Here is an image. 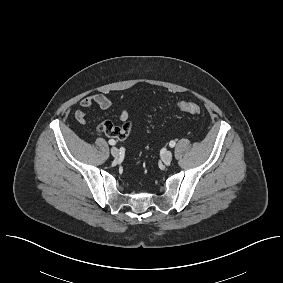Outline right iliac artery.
<instances>
[{
  "label": "right iliac artery",
  "instance_id": "1",
  "mask_svg": "<svg viewBox=\"0 0 283 283\" xmlns=\"http://www.w3.org/2000/svg\"><path fill=\"white\" fill-rule=\"evenodd\" d=\"M109 144H110V145H115V144H116V142H115V140L110 139V140H109Z\"/></svg>",
  "mask_w": 283,
  "mask_h": 283
}]
</instances>
